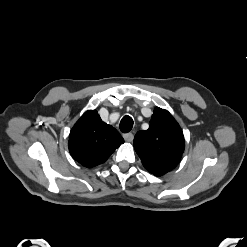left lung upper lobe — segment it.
Wrapping results in <instances>:
<instances>
[{"label":"left lung upper lobe","mask_w":247,"mask_h":247,"mask_svg":"<svg viewBox=\"0 0 247 247\" xmlns=\"http://www.w3.org/2000/svg\"><path fill=\"white\" fill-rule=\"evenodd\" d=\"M134 148L143 166L155 176H162L173 170L181 160L183 132L167 110L157 107L149 129L135 135Z\"/></svg>","instance_id":"5c2ea615"}]
</instances>
